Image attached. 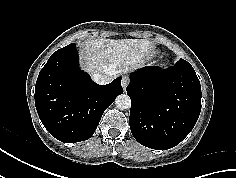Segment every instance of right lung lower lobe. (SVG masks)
<instances>
[{"instance_id": "1", "label": "right lung lower lobe", "mask_w": 236, "mask_h": 178, "mask_svg": "<svg viewBox=\"0 0 236 178\" xmlns=\"http://www.w3.org/2000/svg\"><path fill=\"white\" fill-rule=\"evenodd\" d=\"M123 93L121 77L107 85L94 83L80 70L74 43L57 50L41 69L35 105L44 127L64 143L89 139L103 112Z\"/></svg>"}]
</instances>
